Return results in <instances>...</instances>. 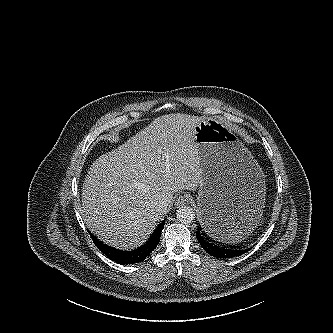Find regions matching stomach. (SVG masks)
<instances>
[{
	"mask_svg": "<svg viewBox=\"0 0 333 333\" xmlns=\"http://www.w3.org/2000/svg\"><path fill=\"white\" fill-rule=\"evenodd\" d=\"M202 169L197 204L204 233L223 246L252 235L265 204V176L252 153L222 122L195 127Z\"/></svg>",
	"mask_w": 333,
	"mask_h": 333,
	"instance_id": "1",
	"label": "stomach"
}]
</instances>
